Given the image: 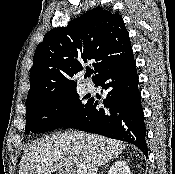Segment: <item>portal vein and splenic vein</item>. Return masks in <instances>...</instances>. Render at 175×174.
I'll list each match as a JSON object with an SVG mask.
<instances>
[{
	"mask_svg": "<svg viewBox=\"0 0 175 174\" xmlns=\"http://www.w3.org/2000/svg\"><path fill=\"white\" fill-rule=\"evenodd\" d=\"M71 160L78 167V171L80 172V174H86L85 166L83 164H81L77 158H71Z\"/></svg>",
	"mask_w": 175,
	"mask_h": 174,
	"instance_id": "18ae733b",
	"label": "portal vein and splenic vein"
}]
</instances>
